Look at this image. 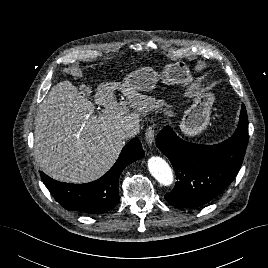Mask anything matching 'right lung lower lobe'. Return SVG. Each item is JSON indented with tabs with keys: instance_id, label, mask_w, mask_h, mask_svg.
I'll list each match as a JSON object with an SVG mask.
<instances>
[{
	"instance_id": "obj_1",
	"label": "right lung lower lobe",
	"mask_w": 268,
	"mask_h": 268,
	"mask_svg": "<svg viewBox=\"0 0 268 268\" xmlns=\"http://www.w3.org/2000/svg\"><path fill=\"white\" fill-rule=\"evenodd\" d=\"M145 155L139 139L126 144L116 163L101 178L86 184L56 181L43 172L41 178L55 200L65 209L88 214H102L119 203L118 180L123 169Z\"/></svg>"
}]
</instances>
